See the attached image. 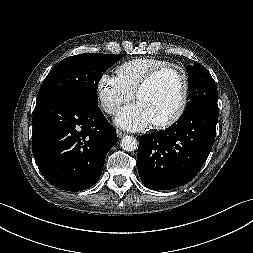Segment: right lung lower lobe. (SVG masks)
I'll list each match as a JSON object with an SVG mask.
<instances>
[{
    "mask_svg": "<svg viewBox=\"0 0 253 253\" xmlns=\"http://www.w3.org/2000/svg\"><path fill=\"white\" fill-rule=\"evenodd\" d=\"M32 151L44 177L55 187L81 191L99 179L115 128L100 108L49 98L36 103Z\"/></svg>",
    "mask_w": 253,
    "mask_h": 253,
    "instance_id": "1",
    "label": "right lung lower lobe"
}]
</instances>
